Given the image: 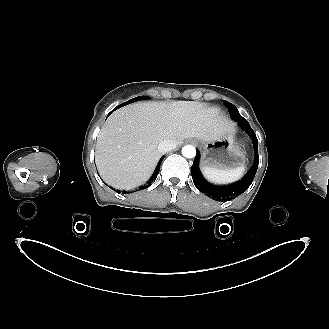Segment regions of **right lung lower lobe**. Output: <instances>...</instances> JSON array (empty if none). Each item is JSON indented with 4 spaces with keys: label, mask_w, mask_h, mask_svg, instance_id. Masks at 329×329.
<instances>
[{
    "label": "right lung lower lobe",
    "mask_w": 329,
    "mask_h": 329,
    "mask_svg": "<svg viewBox=\"0 0 329 329\" xmlns=\"http://www.w3.org/2000/svg\"><path fill=\"white\" fill-rule=\"evenodd\" d=\"M116 109H118V108L116 107L114 110H116ZM114 110H112L111 113H112ZM161 161H162V159L159 161V163H158V165H157V167H156V170H155L154 174L152 175L151 179L148 181V185H150V184L152 183V181L155 180V179L157 178V175H158L159 170H160V164H161Z\"/></svg>",
    "instance_id": "1"
}]
</instances>
